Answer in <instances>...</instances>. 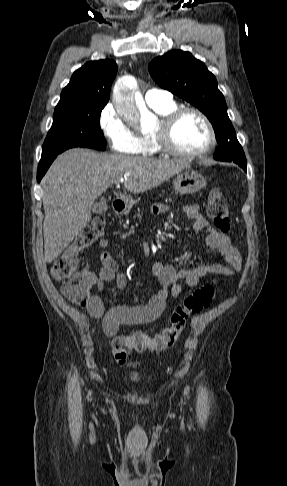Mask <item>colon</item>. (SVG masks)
<instances>
[{"instance_id": "5ec220e1", "label": "colon", "mask_w": 287, "mask_h": 486, "mask_svg": "<svg viewBox=\"0 0 287 486\" xmlns=\"http://www.w3.org/2000/svg\"><path fill=\"white\" fill-rule=\"evenodd\" d=\"M207 213L219 233L229 232L231 222L227 203L218 189H212L209 193ZM104 227L103 218H94L51 267L52 277L62 282V294L75 304H87L90 298V288L94 282L91 272L77 269L78 253L95 242L102 235ZM214 298V286L202 285L183 299V302L171 313L169 324L156 334L135 332L114 338L111 351L115 361L121 365H133L129 360V354L132 351H162L171 348L178 341L188 319L209 307Z\"/></svg>"}]
</instances>
